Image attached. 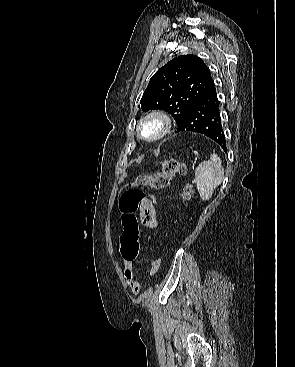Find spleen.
<instances>
[{"label":"spleen","mask_w":295,"mask_h":367,"mask_svg":"<svg viewBox=\"0 0 295 367\" xmlns=\"http://www.w3.org/2000/svg\"><path fill=\"white\" fill-rule=\"evenodd\" d=\"M224 168L220 157L213 152L210 160L200 163L195 170V182L203 201H208L214 189L222 183Z\"/></svg>","instance_id":"obj_1"}]
</instances>
